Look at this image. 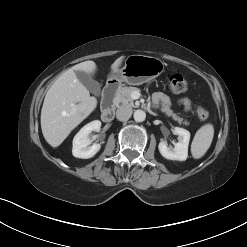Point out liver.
I'll return each mask as SVG.
<instances>
[{
    "label": "liver",
    "mask_w": 247,
    "mask_h": 247,
    "mask_svg": "<svg viewBox=\"0 0 247 247\" xmlns=\"http://www.w3.org/2000/svg\"><path fill=\"white\" fill-rule=\"evenodd\" d=\"M123 57L118 58L111 70L117 71ZM93 61L74 65L64 72L47 91L41 110V129L47 143L58 147L97 107V99L79 81L76 71L95 73Z\"/></svg>",
    "instance_id": "liver-1"
}]
</instances>
